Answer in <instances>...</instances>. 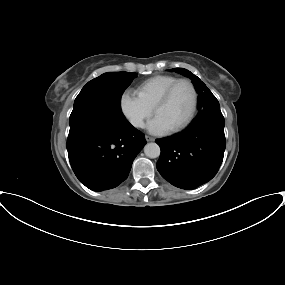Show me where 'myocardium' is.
Wrapping results in <instances>:
<instances>
[{"label":"myocardium","mask_w":285,"mask_h":285,"mask_svg":"<svg viewBox=\"0 0 285 285\" xmlns=\"http://www.w3.org/2000/svg\"><path fill=\"white\" fill-rule=\"evenodd\" d=\"M181 84H187L191 88L192 93H193V105H192L191 111L189 115L187 116V118L182 123H180L178 126L170 129L171 133H177L185 129L193 121V119L196 116L198 106H199V92L195 84L190 79H186V78L178 79L166 89V91L162 94V96L158 99V101L155 103L153 107V113L156 114V111L160 107L168 103V101L170 100L176 88Z\"/></svg>","instance_id":"myocardium-1"}]
</instances>
